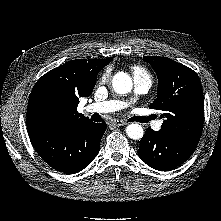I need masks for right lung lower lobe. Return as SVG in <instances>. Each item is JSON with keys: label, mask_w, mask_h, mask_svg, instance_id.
Wrapping results in <instances>:
<instances>
[{"label": "right lung lower lobe", "mask_w": 221, "mask_h": 221, "mask_svg": "<svg viewBox=\"0 0 221 221\" xmlns=\"http://www.w3.org/2000/svg\"><path fill=\"white\" fill-rule=\"evenodd\" d=\"M106 127L105 122L86 120L53 130L28 129V133L34 148L50 167L73 174L97 156Z\"/></svg>", "instance_id": "right-lung-lower-lobe-1"}]
</instances>
